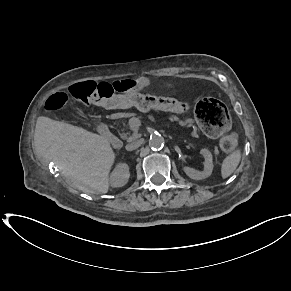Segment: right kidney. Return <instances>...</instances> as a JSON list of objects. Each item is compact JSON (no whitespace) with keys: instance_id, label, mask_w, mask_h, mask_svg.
Instances as JSON below:
<instances>
[{"instance_id":"right-kidney-1","label":"right kidney","mask_w":291,"mask_h":291,"mask_svg":"<svg viewBox=\"0 0 291 291\" xmlns=\"http://www.w3.org/2000/svg\"><path fill=\"white\" fill-rule=\"evenodd\" d=\"M129 177V166L126 163H119L110 175V184L112 187H122L128 182Z\"/></svg>"}]
</instances>
